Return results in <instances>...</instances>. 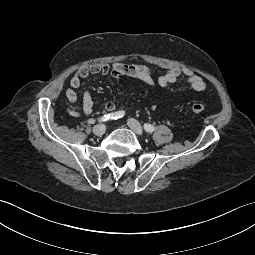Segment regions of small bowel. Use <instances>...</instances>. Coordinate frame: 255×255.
<instances>
[{
    "label": "small bowel",
    "mask_w": 255,
    "mask_h": 255,
    "mask_svg": "<svg viewBox=\"0 0 255 255\" xmlns=\"http://www.w3.org/2000/svg\"><path fill=\"white\" fill-rule=\"evenodd\" d=\"M96 75H110L113 77H132L139 79L146 84L155 87L163 88L170 87L176 83L189 86L196 91H203L206 88L204 79L193 73L190 70H182L178 67L166 68V72L157 75L154 69L143 64H125L122 62H113L112 64L94 63L88 66L81 67L70 79V88L66 91V98L73 103L77 100L75 90L80 88L83 81L90 76ZM82 108L76 109L74 115H79L80 112L84 114H91L93 112V98L90 91L85 90L82 95ZM116 108L113 102H107L105 109L109 112Z\"/></svg>",
    "instance_id": "small-bowel-1"
}]
</instances>
